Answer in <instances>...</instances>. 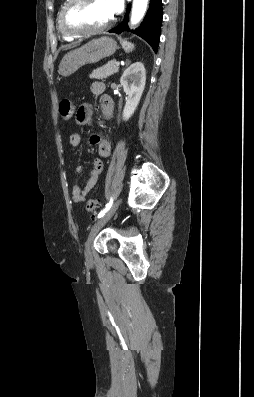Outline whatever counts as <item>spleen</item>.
Wrapping results in <instances>:
<instances>
[{
	"label": "spleen",
	"instance_id": "spleen-1",
	"mask_svg": "<svg viewBox=\"0 0 254 397\" xmlns=\"http://www.w3.org/2000/svg\"><path fill=\"white\" fill-rule=\"evenodd\" d=\"M120 43L126 52H131L134 49V44L125 39H120Z\"/></svg>",
	"mask_w": 254,
	"mask_h": 397
}]
</instances>
